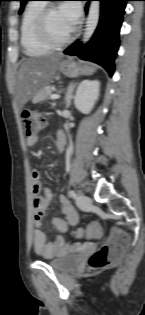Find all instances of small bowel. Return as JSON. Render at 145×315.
<instances>
[{"label": "small bowel", "instance_id": "small-bowel-1", "mask_svg": "<svg viewBox=\"0 0 145 315\" xmlns=\"http://www.w3.org/2000/svg\"><path fill=\"white\" fill-rule=\"evenodd\" d=\"M39 139L37 133L28 136L26 139L27 146H34ZM56 148L59 144H66V137L63 132H59L56 137ZM31 188L34 195L33 208L34 217L32 232V244L35 253L43 258L52 256H61L69 252V245L66 244L61 235H56L51 242L46 241L45 234L40 229L42 218L49 209L50 201L53 197V192L49 188H42L41 175L36 169L31 172ZM59 205L65 220L61 218H53L51 224L60 232H65L69 225L75 226L79 223V215L70 204L65 196L59 197Z\"/></svg>", "mask_w": 145, "mask_h": 315}]
</instances>
